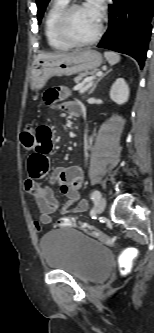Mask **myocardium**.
Wrapping results in <instances>:
<instances>
[{
  "instance_id": "f54148a6",
  "label": "myocardium",
  "mask_w": 154,
  "mask_h": 333,
  "mask_svg": "<svg viewBox=\"0 0 154 333\" xmlns=\"http://www.w3.org/2000/svg\"><path fill=\"white\" fill-rule=\"evenodd\" d=\"M81 6L84 5L78 1H73L71 3H68L60 12L56 22V30L59 37L64 42L68 43L73 47L89 46L96 43L101 38L104 31L103 18L100 17L98 29L92 38L87 40H79L71 34L68 27L70 15L73 12V10Z\"/></svg>"
}]
</instances>
